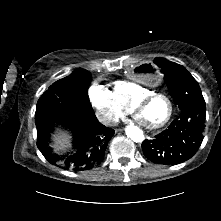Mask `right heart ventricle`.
<instances>
[{
  "label": "right heart ventricle",
  "instance_id": "e07e8e85",
  "mask_svg": "<svg viewBox=\"0 0 221 221\" xmlns=\"http://www.w3.org/2000/svg\"><path fill=\"white\" fill-rule=\"evenodd\" d=\"M153 92L142 84L131 80H118L113 83V93L117 100L127 109L141 97Z\"/></svg>",
  "mask_w": 221,
  "mask_h": 221
}]
</instances>
